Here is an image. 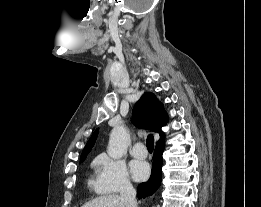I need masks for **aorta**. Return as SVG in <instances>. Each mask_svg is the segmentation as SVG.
Returning a JSON list of instances; mask_svg holds the SVG:
<instances>
[{
  "label": "aorta",
  "instance_id": "762f6f07",
  "mask_svg": "<svg viewBox=\"0 0 261 207\" xmlns=\"http://www.w3.org/2000/svg\"><path fill=\"white\" fill-rule=\"evenodd\" d=\"M130 144V135L125 127L117 126L110 133L107 153L113 159H120Z\"/></svg>",
  "mask_w": 261,
  "mask_h": 207
}]
</instances>
